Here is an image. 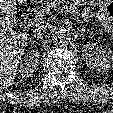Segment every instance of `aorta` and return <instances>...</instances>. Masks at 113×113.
Masks as SVG:
<instances>
[{
	"instance_id": "762f6f07",
	"label": "aorta",
	"mask_w": 113,
	"mask_h": 113,
	"mask_svg": "<svg viewBox=\"0 0 113 113\" xmlns=\"http://www.w3.org/2000/svg\"><path fill=\"white\" fill-rule=\"evenodd\" d=\"M71 38L70 32L65 28H57L52 34V42L56 46H65Z\"/></svg>"
}]
</instances>
